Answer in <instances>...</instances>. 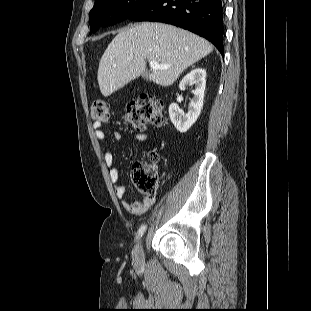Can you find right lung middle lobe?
<instances>
[{"label":"right lung middle lobe","mask_w":311,"mask_h":311,"mask_svg":"<svg viewBox=\"0 0 311 311\" xmlns=\"http://www.w3.org/2000/svg\"><path fill=\"white\" fill-rule=\"evenodd\" d=\"M156 0H97L89 13L90 32L129 19Z\"/></svg>","instance_id":"dd1d6c3e"}]
</instances>
